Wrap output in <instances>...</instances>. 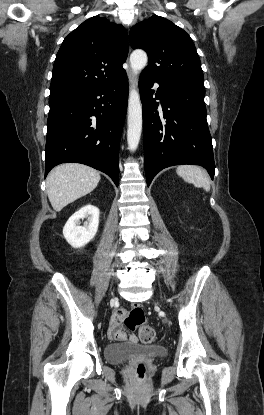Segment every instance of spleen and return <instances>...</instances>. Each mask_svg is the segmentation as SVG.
Returning <instances> with one entry per match:
<instances>
[{
  "instance_id": "obj_1",
  "label": "spleen",
  "mask_w": 264,
  "mask_h": 415,
  "mask_svg": "<svg viewBox=\"0 0 264 415\" xmlns=\"http://www.w3.org/2000/svg\"><path fill=\"white\" fill-rule=\"evenodd\" d=\"M177 174L186 182L193 184L195 187H202L206 191L210 190V181L206 172L198 166L182 165L178 166Z\"/></svg>"
}]
</instances>
